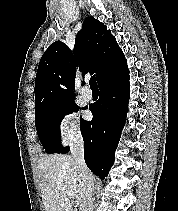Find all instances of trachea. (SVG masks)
<instances>
[{"mask_svg": "<svg viewBox=\"0 0 178 211\" xmlns=\"http://www.w3.org/2000/svg\"><path fill=\"white\" fill-rule=\"evenodd\" d=\"M89 84H90L91 89H97L98 88V85L96 83L95 75L91 76Z\"/></svg>", "mask_w": 178, "mask_h": 211, "instance_id": "trachea-1", "label": "trachea"}]
</instances>
